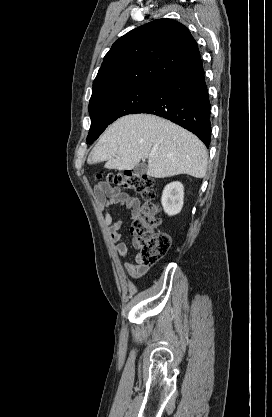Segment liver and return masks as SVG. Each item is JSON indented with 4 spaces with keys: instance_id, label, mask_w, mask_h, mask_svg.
Wrapping results in <instances>:
<instances>
[{
    "instance_id": "6515ba94",
    "label": "liver",
    "mask_w": 272,
    "mask_h": 417,
    "mask_svg": "<svg viewBox=\"0 0 272 417\" xmlns=\"http://www.w3.org/2000/svg\"><path fill=\"white\" fill-rule=\"evenodd\" d=\"M154 151L155 155L150 157ZM148 159L147 175L165 178L187 174L203 178L208 153L204 144L182 127L155 115L124 116L107 128L88 157L91 164L130 170Z\"/></svg>"
}]
</instances>
